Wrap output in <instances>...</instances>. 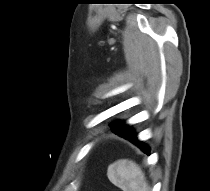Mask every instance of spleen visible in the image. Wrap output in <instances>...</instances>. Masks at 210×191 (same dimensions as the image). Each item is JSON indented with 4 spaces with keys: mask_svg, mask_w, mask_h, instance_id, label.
<instances>
[{
    "mask_svg": "<svg viewBox=\"0 0 210 191\" xmlns=\"http://www.w3.org/2000/svg\"><path fill=\"white\" fill-rule=\"evenodd\" d=\"M107 176L123 191H150L141 168L131 160L121 159L109 165Z\"/></svg>",
    "mask_w": 210,
    "mask_h": 191,
    "instance_id": "3e777b00",
    "label": "spleen"
}]
</instances>
